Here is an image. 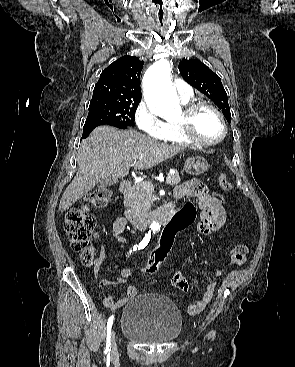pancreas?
Segmentation results:
<instances>
[{
	"instance_id": "pancreas-1",
	"label": "pancreas",
	"mask_w": 295,
	"mask_h": 367,
	"mask_svg": "<svg viewBox=\"0 0 295 367\" xmlns=\"http://www.w3.org/2000/svg\"><path fill=\"white\" fill-rule=\"evenodd\" d=\"M167 177L171 178L170 185H178L180 183L179 174H168ZM152 186L151 182H142L135 185L131 191L124 196V205L131 209L136 214H143L148 212L154 201L152 190L148 188Z\"/></svg>"
}]
</instances>
